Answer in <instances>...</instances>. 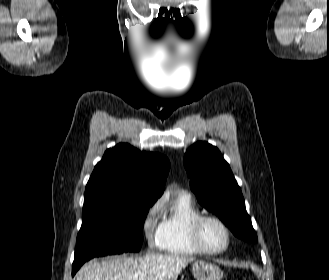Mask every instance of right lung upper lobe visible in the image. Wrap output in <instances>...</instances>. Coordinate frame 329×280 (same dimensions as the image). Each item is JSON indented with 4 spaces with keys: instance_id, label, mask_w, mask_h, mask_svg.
<instances>
[{
    "instance_id": "right-lung-upper-lobe-1",
    "label": "right lung upper lobe",
    "mask_w": 329,
    "mask_h": 280,
    "mask_svg": "<svg viewBox=\"0 0 329 280\" xmlns=\"http://www.w3.org/2000/svg\"><path fill=\"white\" fill-rule=\"evenodd\" d=\"M170 169L167 157L127 143L106 150L86 185L83 211L117 198L158 199Z\"/></svg>"
}]
</instances>
